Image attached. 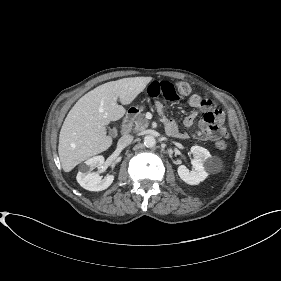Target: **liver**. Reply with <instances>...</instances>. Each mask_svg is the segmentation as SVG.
Listing matches in <instances>:
<instances>
[{
	"instance_id": "liver-1",
	"label": "liver",
	"mask_w": 281,
	"mask_h": 281,
	"mask_svg": "<svg viewBox=\"0 0 281 281\" xmlns=\"http://www.w3.org/2000/svg\"><path fill=\"white\" fill-rule=\"evenodd\" d=\"M151 80V77H130L107 82L75 103L59 135L58 154L65 172L112 145L106 125L122 118L126 112L123 105L130 104ZM118 98L122 105L117 104Z\"/></svg>"
}]
</instances>
